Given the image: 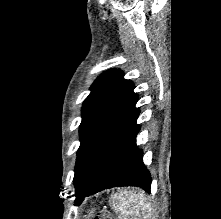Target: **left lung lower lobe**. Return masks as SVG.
I'll use <instances>...</instances> for the list:
<instances>
[{"mask_svg": "<svg viewBox=\"0 0 221 219\" xmlns=\"http://www.w3.org/2000/svg\"><path fill=\"white\" fill-rule=\"evenodd\" d=\"M135 104L107 132L85 163L76 182V205L85 196L112 187L138 186L150 192L151 175L143 164L142 150L136 147L140 111Z\"/></svg>", "mask_w": 221, "mask_h": 219, "instance_id": "0a47b994", "label": "left lung lower lobe"}]
</instances>
